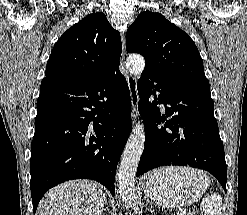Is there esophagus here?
I'll return each instance as SVG.
<instances>
[{"mask_svg": "<svg viewBox=\"0 0 247 215\" xmlns=\"http://www.w3.org/2000/svg\"><path fill=\"white\" fill-rule=\"evenodd\" d=\"M122 61L125 59V39L122 37ZM126 80L128 83V87L130 90V96H131V107H132V120L133 122L136 120L138 116L137 106L139 101L138 91H137V81L136 78L132 75H127Z\"/></svg>", "mask_w": 247, "mask_h": 215, "instance_id": "34e87169", "label": "esophagus"}]
</instances>
